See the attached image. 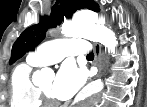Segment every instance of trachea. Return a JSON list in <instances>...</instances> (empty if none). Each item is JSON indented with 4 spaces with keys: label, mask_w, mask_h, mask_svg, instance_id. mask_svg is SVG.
Here are the masks:
<instances>
[{
    "label": "trachea",
    "mask_w": 147,
    "mask_h": 107,
    "mask_svg": "<svg viewBox=\"0 0 147 107\" xmlns=\"http://www.w3.org/2000/svg\"><path fill=\"white\" fill-rule=\"evenodd\" d=\"M87 58L93 59L94 58V54L92 52L87 54Z\"/></svg>",
    "instance_id": "1"
}]
</instances>
